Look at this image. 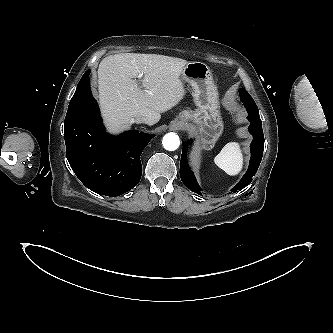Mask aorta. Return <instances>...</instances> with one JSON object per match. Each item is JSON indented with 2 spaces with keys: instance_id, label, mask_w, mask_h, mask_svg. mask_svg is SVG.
<instances>
[{
  "instance_id": "obj_1",
  "label": "aorta",
  "mask_w": 333,
  "mask_h": 333,
  "mask_svg": "<svg viewBox=\"0 0 333 333\" xmlns=\"http://www.w3.org/2000/svg\"><path fill=\"white\" fill-rule=\"evenodd\" d=\"M162 144L166 150L174 151L179 147L180 140L176 133H168L163 137Z\"/></svg>"
}]
</instances>
